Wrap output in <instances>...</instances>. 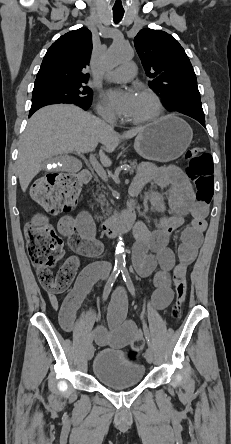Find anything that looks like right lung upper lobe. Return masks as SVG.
<instances>
[{"label":"right lung upper lobe","mask_w":231,"mask_h":444,"mask_svg":"<svg viewBox=\"0 0 231 444\" xmlns=\"http://www.w3.org/2000/svg\"><path fill=\"white\" fill-rule=\"evenodd\" d=\"M92 51V34L87 28L70 31L46 52L34 86L51 83L85 84Z\"/></svg>","instance_id":"cb5924a9"}]
</instances>
